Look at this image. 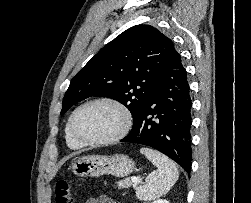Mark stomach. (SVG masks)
I'll use <instances>...</instances> for the list:
<instances>
[{
	"label": "stomach",
	"mask_w": 251,
	"mask_h": 203,
	"mask_svg": "<svg viewBox=\"0 0 251 203\" xmlns=\"http://www.w3.org/2000/svg\"><path fill=\"white\" fill-rule=\"evenodd\" d=\"M134 169V160L124 154L82 156L72 163L73 173L80 177H94L104 174L125 177L131 174Z\"/></svg>",
	"instance_id": "1"
}]
</instances>
